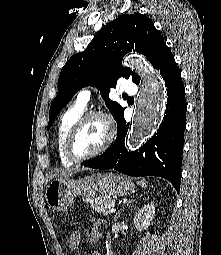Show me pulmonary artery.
Here are the masks:
<instances>
[{"instance_id": "1", "label": "pulmonary artery", "mask_w": 221, "mask_h": 255, "mask_svg": "<svg viewBox=\"0 0 221 255\" xmlns=\"http://www.w3.org/2000/svg\"><path fill=\"white\" fill-rule=\"evenodd\" d=\"M120 91L127 95H135L137 93V86L131 80H123L120 82ZM91 97V90L85 88L77 93L75 104L81 107H86Z\"/></svg>"}]
</instances>
